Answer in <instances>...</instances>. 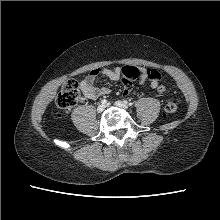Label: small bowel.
Wrapping results in <instances>:
<instances>
[{
  "label": "small bowel",
  "mask_w": 220,
  "mask_h": 220,
  "mask_svg": "<svg viewBox=\"0 0 220 220\" xmlns=\"http://www.w3.org/2000/svg\"><path fill=\"white\" fill-rule=\"evenodd\" d=\"M148 69H142V75L140 82L144 83L148 79L147 75ZM106 77L112 81H117L120 79L121 70L120 68L108 69V68H98L92 70L85 79L80 83V88L83 92L85 98L94 100L101 95H107L110 90L107 87H98L96 85V80L99 77ZM159 85V79H151L150 88L156 89Z\"/></svg>",
  "instance_id": "c3829d8e"
}]
</instances>
